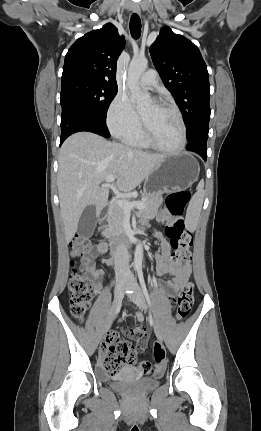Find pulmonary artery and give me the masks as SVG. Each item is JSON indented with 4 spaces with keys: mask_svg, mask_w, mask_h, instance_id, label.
I'll return each mask as SVG.
<instances>
[{
    "mask_svg": "<svg viewBox=\"0 0 261 431\" xmlns=\"http://www.w3.org/2000/svg\"><path fill=\"white\" fill-rule=\"evenodd\" d=\"M140 83L145 87H153L158 83L157 72L153 69L147 70L140 78Z\"/></svg>",
    "mask_w": 261,
    "mask_h": 431,
    "instance_id": "e3ab8cb5",
    "label": "pulmonary artery"
}]
</instances>
